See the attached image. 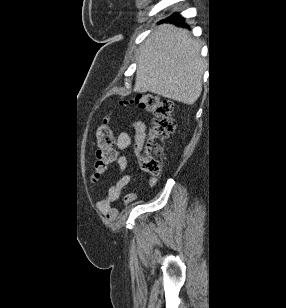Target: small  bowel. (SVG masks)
<instances>
[{
	"label": "small bowel",
	"instance_id": "c3829d8e",
	"mask_svg": "<svg viewBox=\"0 0 286 308\" xmlns=\"http://www.w3.org/2000/svg\"><path fill=\"white\" fill-rule=\"evenodd\" d=\"M131 128L134 130V136L129 131H123L119 134L117 140V148L119 150L127 149L134 141L135 153L139 157L140 149L145 139V125L141 121L132 123ZM119 169L123 170L127 166V160L124 156H119L116 161ZM134 174H120L111 183L105 199H103L99 207L107 215L108 218L113 219L117 215V209L112 204L118 200L122 190L127 183L134 177ZM150 184L154 185L155 180H150ZM135 198L133 193H128L124 197V202L130 204Z\"/></svg>",
	"mask_w": 286,
	"mask_h": 308
}]
</instances>
